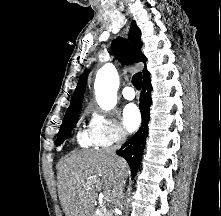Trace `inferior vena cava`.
I'll use <instances>...</instances> for the list:
<instances>
[{
	"instance_id": "1",
	"label": "inferior vena cava",
	"mask_w": 221,
	"mask_h": 216,
	"mask_svg": "<svg viewBox=\"0 0 221 216\" xmlns=\"http://www.w3.org/2000/svg\"><path fill=\"white\" fill-rule=\"evenodd\" d=\"M126 136H127L126 131L121 130L116 145H114L113 147L107 148L105 150V152L107 154H110V155L116 157L115 152L120 147V145L125 141ZM124 186H125V177H124L123 172L120 171V173H119V183H118L117 187L115 188V193H116V197H117V206H120V199H121L122 194H123Z\"/></svg>"
}]
</instances>
